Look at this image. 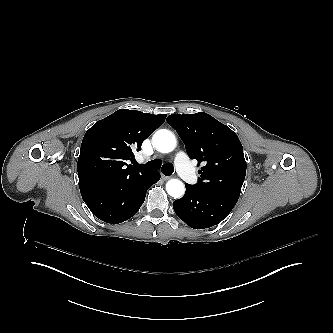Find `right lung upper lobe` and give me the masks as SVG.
I'll return each mask as SVG.
<instances>
[{
  "label": "right lung upper lobe",
  "instance_id": "obj_1",
  "mask_svg": "<svg viewBox=\"0 0 333 333\" xmlns=\"http://www.w3.org/2000/svg\"><path fill=\"white\" fill-rule=\"evenodd\" d=\"M166 114L153 115L120 109L96 122L85 134L78 159L79 184L118 182L142 172L125 161L134 160L133 148L165 121Z\"/></svg>",
  "mask_w": 333,
  "mask_h": 333
}]
</instances>
